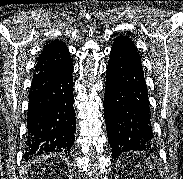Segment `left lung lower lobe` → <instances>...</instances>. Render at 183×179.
<instances>
[{
    "label": "left lung lower lobe",
    "instance_id": "obj_1",
    "mask_svg": "<svg viewBox=\"0 0 183 179\" xmlns=\"http://www.w3.org/2000/svg\"><path fill=\"white\" fill-rule=\"evenodd\" d=\"M104 115L112 157L154 148L151 112L141 58L133 41L119 36L106 71Z\"/></svg>",
    "mask_w": 183,
    "mask_h": 179
}]
</instances>
